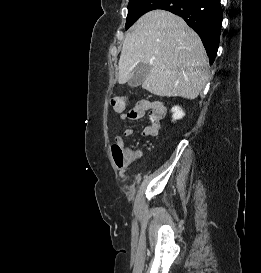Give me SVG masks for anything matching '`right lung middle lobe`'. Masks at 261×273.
I'll use <instances>...</instances> for the list:
<instances>
[{
  "instance_id": "dd1d6c3e",
  "label": "right lung middle lobe",
  "mask_w": 261,
  "mask_h": 273,
  "mask_svg": "<svg viewBox=\"0 0 261 273\" xmlns=\"http://www.w3.org/2000/svg\"><path fill=\"white\" fill-rule=\"evenodd\" d=\"M164 0H130L125 28L128 29L143 14L154 9H160Z\"/></svg>"
}]
</instances>
